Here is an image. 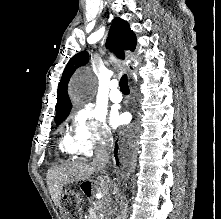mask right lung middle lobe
<instances>
[{
	"mask_svg": "<svg viewBox=\"0 0 221 219\" xmlns=\"http://www.w3.org/2000/svg\"><path fill=\"white\" fill-rule=\"evenodd\" d=\"M70 110H68L67 112H65L64 114L55 117V121L58 123H61L62 121H64V119L69 115Z\"/></svg>",
	"mask_w": 221,
	"mask_h": 219,
	"instance_id": "obj_1",
	"label": "right lung middle lobe"
}]
</instances>
